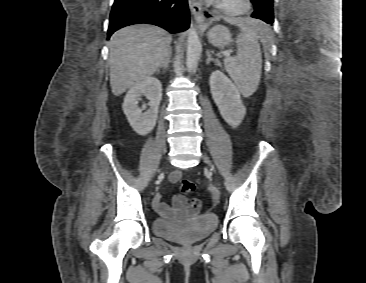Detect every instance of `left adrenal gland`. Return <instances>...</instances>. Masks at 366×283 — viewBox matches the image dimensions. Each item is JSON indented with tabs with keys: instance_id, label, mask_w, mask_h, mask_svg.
Masks as SVG:
<instances>
[{
	"instance_id": "obj_1",
	"label": "left adrenal gland",
	"mask_w": 366,
	"mask_h": 283,
	"mask_svg": "<svg viewBox=\"0 0 366 283\" xmlns=\"http://www.w3.org/2000/svg\"><path fill=\"white\" fill-rule=\"evenodd\" d=\"M206 53H207V56H208V58H207V60H206V64H207V65H209V64H210V62H214L215 64H217V63L214 61V59L212 58L211 52H210V51H207Z\"/></svg>"
}]
</instances>
